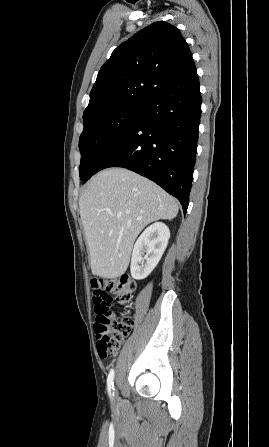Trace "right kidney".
I'll return each instance as SVG.
<instances>
[{
	"label": "right kidney",
	"mask_w": 269,
	"mask_h": 447,
	"mask_svg": "<svg viewBox=\"0 0 269 447\" xmlns=\"http://www.w3.org/2000/svg\"><path fill=\"white\" fill-rule=\"evenodd\" d=\"M169 237L170 229L162 222H155L144 229L133 247L130 271L134 279H144L151 273L161 259Z\"/></svg>",
	"instance_id": "1"
}]
</instances>
